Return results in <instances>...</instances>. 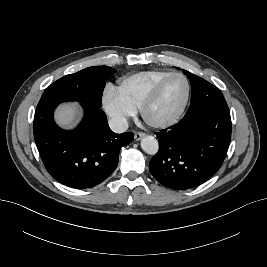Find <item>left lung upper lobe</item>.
Listing matches in <instances>:
<instances>
[{
	"mask_svg": "<svg viewBox=\"0 0 267 267\" xmlns=\"http://www.w3.org/2000/svg\"><path fill=\"white\" fill-rule=\"evenodd\" d=\"M183 73L189 78L192 85L191 100L202 99L205 96H210L213 101L212 109L216 110L227 106L222 93L217 87L186 70H183Z\"/></svg>",
	"mask_w": 267,
	"mask_h": 267,
	"instance_id": "5c2ea615",
	"label": "left lung upper lobe"
}]
</instances>
